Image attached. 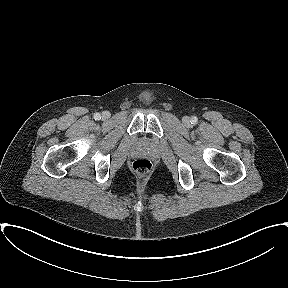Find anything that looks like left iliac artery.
I'll use <instances>...</instances> for the list:
<instances>
[{
    "mask_svg": "<svg viewBox=\"0 0 288 288\" xmlns=\"http://www.w3.org/2000/svg\"><path fill=\"white\" fill-rule=\"evenodd\" d=\"M197 120H198L197 117H192V118H191V123H192V124H196V123H197Z\"/></svg>",
    "mask_w": 288,
    "mask_h": 288,
    "instance_id": "1",
    "label": "left iliac artery"
}]
</instances>
